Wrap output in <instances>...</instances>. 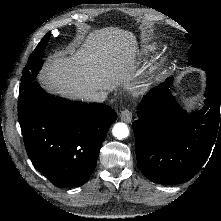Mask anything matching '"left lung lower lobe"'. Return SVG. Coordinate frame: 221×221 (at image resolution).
<instances>
[{
    "mask_svg": "<svg viewBox=\"0 0 221 221\" xmlns=\"http://www.w3.org/2000/svg\"><path fill=\"white\" fill-rule=\"evenodd\" d=\"M205 107L188 114L178 108L166 79L151 89L137 109L133 122L137 166L152 182L177 184L189 181L221 138V79L206 71Z\"/></svg>",
    "mask_w": 221,
    "mask_h": 221,
    "instance_id": "0a47b994",
    "label": "left lung lower lobe"
}]
</instances>
